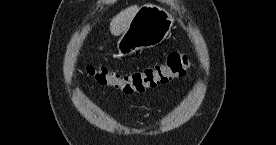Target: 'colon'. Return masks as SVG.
<instances>
[{
    "label": "colon",
    "mask_w": 276,
    "mask_h": 145,
    "mask_svg": "<svg viewBox=\"0 0 276 145\" xmlns=\"http://www.w3.org/2000/svg\"><path fill=\"white\" fill-rule=\"evenodd\" d=\"M189 66L190 61L186 54L172 52L162 64L128 73H119L99 65H88L87 73L103 86L124 94H139L184 76Z\"/></svg>",
    "instance_id": "1"
}]
</instances>
